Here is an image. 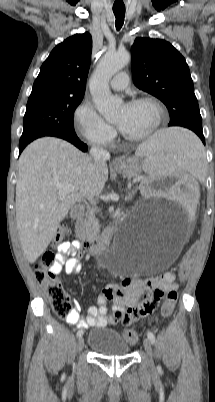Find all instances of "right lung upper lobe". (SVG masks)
<instances>
[{"instance_id":"obj_1","label":"right lung upper lobe","mask_w":215,"mask_h":402,"mask_svg":"<svg viewBox=\"0 0 215 402\" xmlns=\"http://www.w3.org/2000/svg\"><path fill=\"white\" fill-rule=\"evenodd\" d=\"M91 52L92 37L88 32L58 44L42 64L30 96L42 93L84 96Z\"/></svg>"}]
</instances>
